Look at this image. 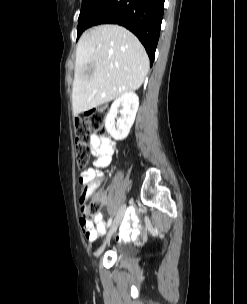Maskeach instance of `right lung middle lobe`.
<instances>
[{"instance_id":"1","label":"right lung middle lobe","mask_w":247,"mask_h":304,"mask_svg":"<svg viewBox=\"0 0 247 304\" xmlns=\"http://www.w3.org/2000/svg\"><path fill=\"white\" fill-rule=\"evenodd\" d=\"M102 0H82V8L78 18L77 38L83 32V19L101 2Z\"/></svg>"}]
</instances>
